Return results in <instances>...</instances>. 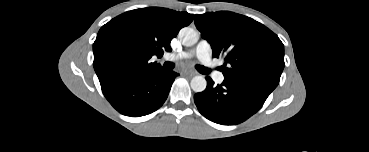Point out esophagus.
Here are the masks:
<instances>
[{"mask_svg": "<svg viewBox=\"0 0 369 152\" xmlns=\"http://www.w3.org/2000/svg\"><path fill=\"white\" fill-rule=\"evenodd\" d=\"M197 73L195 72V71H184L183 72V75L184 76H187V77H192V76H194V75H196Z\"/></svg>", "mask_w": 369, "mask_h": 152, "instance_id": "obj_1", "label": "esophagus"}]
</instances>
